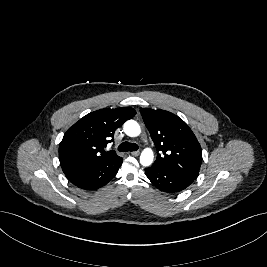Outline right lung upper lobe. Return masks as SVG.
Segmentation results:
<instances>
[{
  "mask_svg": "<svg viewBox=\"0 0 267 267\" xmlns=\"http://www.w3.org/2000/svg\"><path fill=\"white\" fill-rule=\"evenodd\" d=\"M136 114L130 107L100 109L91 112L71 126L59 145V161L64 173L117 157L105 151L115 130Z\"/></svg>",
  "mask_w": 267,
  "mask_h": 267,
  "instance_id": "cb5924a9",
  "label": "right lung upper lobe"
}]
</instances>
